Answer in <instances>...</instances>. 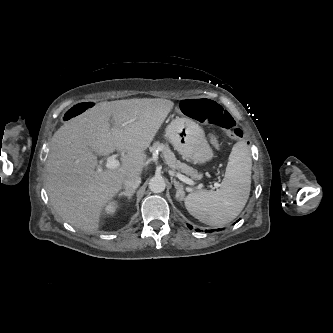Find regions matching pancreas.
Segmentation results:
<instances>
[{"label": "pancreas", "mask_w": 333, "mask_h": 333, "mask_svg": "<svg viewBox=\"0 0 333 333\" xmlns=\"http://www.w3.org/2000/svg\"><path fill=\"white\" fill-rule=\"evenodd\" d=\"M161 151L163 154V158L165 159L166 164L171 168L173 171L178 173H184L185 175L191 177L192 179H200L201 174L199 172L188 166L185 163L180 162L175 158L174 153L170 150V148L162 143L155 142L152 147H150V152L154 151Z\"/></svg>", "instance_id": "1"}]
</instances>
